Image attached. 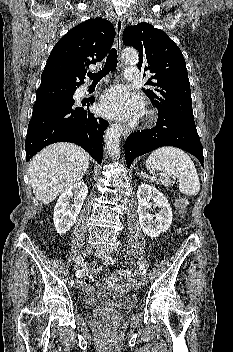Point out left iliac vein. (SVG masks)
<instances>
[{"label":"left iliac vein","mask_w":233,"mask_h":352,"mask_svg":"<svg viewBox=\"0 0 233 352\" xmlns=\"http://www.w3.org/2000/svg\"><path fill=\"white\" fill-rule=\"evenodd\" d=\"M109 250L108 249H104V248H98L96 251H95V255L98 257V258H102V259H105L106 256L109 255ZM140 283L141 285H145L147 283V277L145 275H143L141 278H140Z\"/></svg>","instance_id":"obj_1"}]
</instances>
